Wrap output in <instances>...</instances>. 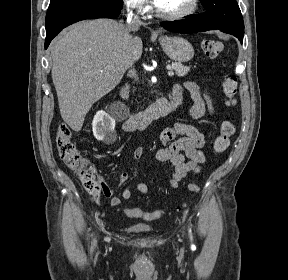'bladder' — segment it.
<instances>
[{"mask_svg": "<svg viewBox=\"0 0 288 280\" xmlns=\"http://www.w3.org/2000/svg\"><path fill=\"white\" fill-rule=\"evenodd\" d=\"M130 230L135 231V232H149L151 231V226L147 225V224H134L131 225Z\"/></svg>", "mask_w": 288, "mask_h": 280, "instance_id": "obj_1", "label": "bladder"}]
</instances>
